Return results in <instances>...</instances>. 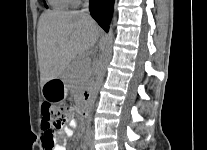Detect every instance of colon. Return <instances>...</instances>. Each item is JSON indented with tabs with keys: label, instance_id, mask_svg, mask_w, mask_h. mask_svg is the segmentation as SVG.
<instances>
[{
	"label": "colon",
	"instance_id": "1",
	"mask_svg": "<svg viewBox=\"0 0 207 150\" xmlns=\"http://www.w3.org/2000/svg\"><path fill=\"white\" fill-rule=\"evenodd\" d=\"M68 115V108L60 103L47 101L42 106L43 147L45 150H51L54 146V133L61 129Z\"/></svg>",
	"mask_w": 207,
	"mask_h": 150
}]
</instances>
